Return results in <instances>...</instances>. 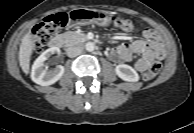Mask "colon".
I'll use <instances>...</instances> for the list:
<instances>
[{"instance_id":"5ec220e1","label":"colon","mask_w":194,"mask_h":133,"mask_svg":"<svg viewBox=\"0 0 194 133\" xmlns=\"http://www.w3.org/2000/svg\"><path fill=\"white\" fill-rule=\"evenodd\" d=\"M67 15L65 13H59L47 17L42 23L37 25L33 30L32 43L35 52H40L55 35V33L63 27L67 22ZM112 21L115 26L131 31L135 29V24L132 20L122 16H114ZM161 64L154 62L148 70L143 74L145 80H151L160 71Z\"/></svg>"}]
</instances>
